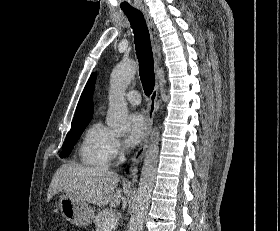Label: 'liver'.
<instances>
[{"label": "liver", "instance_id": "obj_1", "mask_svg": "<svg viewBox=\"0 0 280 231\" xmlns=\"http://www.w3.org/2000/svg\"><path fill=\"white\" fill-rule=\"evenodd\" d=\"M118 181L119 175L113 171H99L79 163H63L51 179L47 199L50 201L55 193L64 191L94 205H125L127 199L122 197V189H116Z\"/></svg>", "mask_w": 280, "mask_h": 231}]
</instances>
